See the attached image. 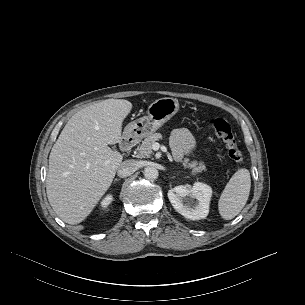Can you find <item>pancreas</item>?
I'll return each mask as SVG.
<instances>
[{
    "mask_svg": "<svg viewBox=\"0 0 305 305\" xmlns=\"http://www.w3.org/2000/svg\"><path fill=\"white\" fill-rule=\"evenodd\" d=\"M162 139V135L160 133H154L147 136L142 144L136 149L135 153L138 158H149L152 154V145ZM182 166L186 169H192L191 174L195 175L202 171H206V166L202 161H191L189 162L188 158H185L181 161Z\"/></svg>",
    "mask_w": 305,
    "mask_h": 305,
    "instance_id": "pancreas-1",
    "label": "pancreas"
}]
</instances>
